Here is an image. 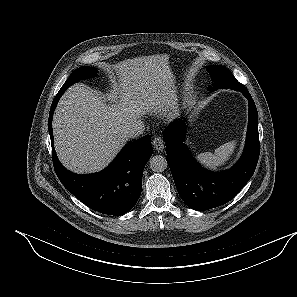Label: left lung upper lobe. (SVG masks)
Returning <instances> with one entry per match:
<instances>
[{"label": "left lung upper lobe", "mask_w": 297, "mask_h": 297, "mask_svg": "<svg viewBox=\"0 0 297 297\" xmlns=\"http://www.w3.org/2000/svg\"><path fill=\"white\" fill-rule=\"evenodd\" d=\"M206 71L210 74L211 80L213 81V89L211 86H209V89L231 88L238 91L246 89V87L238 82L234 75L223 66H208Z\"/></svg>", "instance_id": "5c2ea615"}]
</instances>
